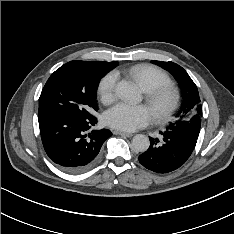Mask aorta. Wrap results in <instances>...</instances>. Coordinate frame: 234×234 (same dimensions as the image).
Masks as SVG:
<instances>
[{
	"label": "aorta",
	"instance_id": "1",
	"mask_svg": "<svg viewBox=\"0 0 234 234\" xmlns=\"http://www.w3.org/2000/svg\"><path fill=\"white\" fill-rule=\"evenodd\" d=\"M116 95L127 102H138L140 99L139 91L136 86L127 81H120L115 88ZM150 146L149 138L143 134H137L132 139V147L138 152H145Z\"/></svg>",
	"mask_w": 234,
	"mask_h": 234
}]
</instances>
